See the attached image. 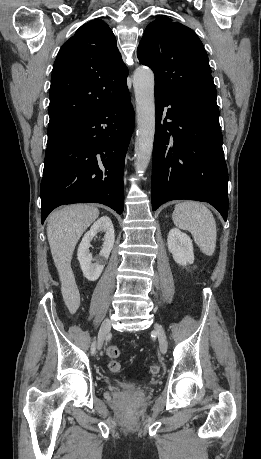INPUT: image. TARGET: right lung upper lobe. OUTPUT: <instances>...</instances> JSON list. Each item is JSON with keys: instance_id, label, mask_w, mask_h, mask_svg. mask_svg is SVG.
Here are the masks:
<instances>
[{"instance_id": "1", "label": "right lung upper lobe", "mask_w": 261, "mask_h": 459, "mask_svg": "<svg viewBox=\"0 0 261 459\" xmlns=\"http://www.w3.org/2000/svg\"><path fill=\"white\" fill-rule=\"evenodd\" d=\"M128 70L115 36L102 20L81 26L61 47L52 70L49 126L95 113L127 88Z\"/></svg>"}]
</instances>
